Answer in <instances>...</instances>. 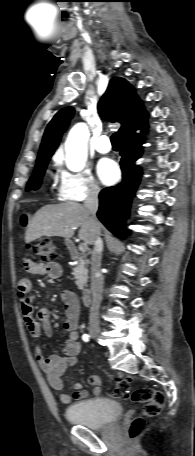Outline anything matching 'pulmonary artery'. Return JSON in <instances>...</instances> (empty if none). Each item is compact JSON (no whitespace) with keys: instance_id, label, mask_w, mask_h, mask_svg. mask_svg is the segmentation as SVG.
<instances>
[{"instance_id":"pulmonary-artery-1","label":"pulmonary artery","mask_w":195,"mask_h":456,"mask_svg":"<svg viewBox=\"0 0 195 456\" xmlns=\"http://www.w3.org/2000/svg\"><path fill=\"white\" fill-rule=\"evenodd\" d=\"M95 149L101 154L109 153L111 151V143L109 138L106 135L99 137L96 142Z\"/></svg>"}]
</instances>
